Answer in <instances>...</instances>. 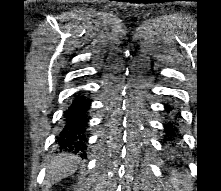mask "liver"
Here are the masks:
<instances>
[{
	"label": "liver",
	"mask_w": 221,
	"mask_h": 191,
	"mask_svg": "<svg viewBox=\"0 0 221 191\" xmlns=\"http://www.w3.org/2000/svg\"><path fill=\"white\" fill-rule=\"evenodd\" d=\"M77 158L72 154L62 153L56 156L48 166L47 184L59 181L61 178L72 175L77 169Z\"/></svg>",
	"instance_id": "obj_1"
}]
</instances>
